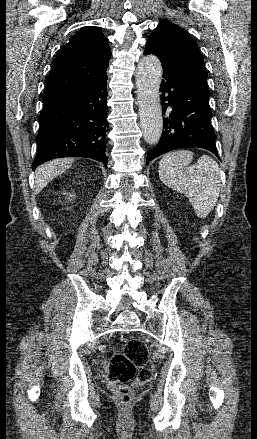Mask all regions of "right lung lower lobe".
<instances>
[{"label": "right lung lower lobe", "mask_w": 257, "mask_h": 439, "mask_svg": "<svg viewBox=\"0 0 257 439\" xmlns=\"http://www.w3.org/2000/svg\"><path fill=\"white\" fill-rule=\"evenodd\" d=\"M43 99L32 169L60 157H89L107 167V74Z\"/></svg>", "instance_id": "right-lung-lower-lobe-1"}]
</instances>
